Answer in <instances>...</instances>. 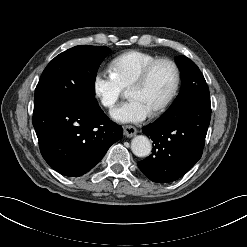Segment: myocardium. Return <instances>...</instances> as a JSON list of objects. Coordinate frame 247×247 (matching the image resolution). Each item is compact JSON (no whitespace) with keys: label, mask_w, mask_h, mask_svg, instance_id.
<instances>
[{"label":"myocardium","mask_w":247,"mask_h":247,"mask_svg":"<svg viewBox=\"0 0 247 247\" xmlns=\"http://www.w3.org/2000/svg\"><path fill=\"white\" fill-rule=\"evenodd\" d=\"M160 64H168L173 69L174 81H173V85H172L169 93L167 94V96L157 106H155L151 110L152 113H158V112L164 110L172 102V100L175 98V96L178 92L179 86H180V81H181V74H180V69H179L178 65L171 59L158 58V59L154 60L153 62H151L150 64H148L142 70V72L133 80V82L130 84V86L127 88V90L130 91L132 89L143 86L147 82V80L149 79L153 70Z\"/></svg>","instance_id":"obj_1"}]
</instances>
